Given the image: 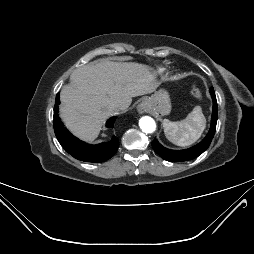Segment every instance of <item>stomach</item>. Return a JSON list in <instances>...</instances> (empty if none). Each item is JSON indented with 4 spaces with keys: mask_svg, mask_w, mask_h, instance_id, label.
Returning a JSON list of instances; mask_svg holds the SVG:
<instances>
[{
    "mask_svg": "<svg viewBox=\"0 0 254 254\" xmlns=\"http://www.w3.org/2000/svg\"><path fill=\"white\" fill-rule=\"evenodd\" d=\"M146 101L148 103L149 111L157 116L168 115L171 112L170 96L164 89L155 92L153 95L146 98Z\"/></svg>",
    "mask_w": 254,
    "mask_h": 254,
    "instance_id": "obj_1",
    "label": "stomach"
}]
</instances>
